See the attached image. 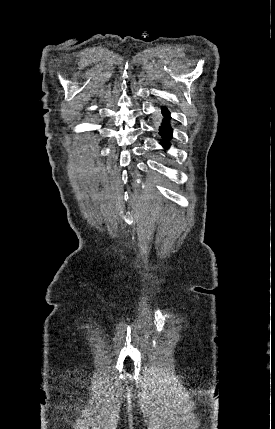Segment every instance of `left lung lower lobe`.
<instances>
[{
	"instance_id": "1",
	"label": "left lung lower lobe",
	"mask_w": 275,
	"mask_h": 429,
	"mask_svg": "<svg viewBox=\"0 0 275 429\" xmlns=\"http://www.w3.org/2000/svg\"><path fill=\"white\" fill-rule=\"evenodd\" d=\"M163 111H164V112H166L165 116H167V119H169V118H170V116L168 115L167 110H166L165 108H163ZM172 132H173V130H172V128H171L170 126H164V127H162V128L160 129V134H161L164 138H166V139H167V141L162 142V145H163L165 148H168V147H169L168 140H170V139L172 138Z\"/></svg>"
}]
</instances>
